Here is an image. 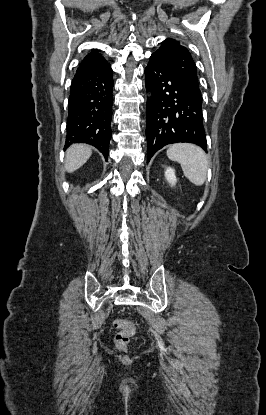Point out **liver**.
Masks as SVG:
<instances>
[{
	"label": "liver",
	"instance_id": "obj_1",
	"mask_svg": "<svg viewBox=\"0 0 266 415\" xmlns=\"http://www.w3.org/2000/svg\"><path fill=\"white\" fill-rule=\"evenodd\" d=\"M92 154V149L88 145L73 144L66 151L65 170L72 173L82 167Z\"/></svg>",
	"mask_w": 266,
	"mask_h": 415
}]
</instances>
